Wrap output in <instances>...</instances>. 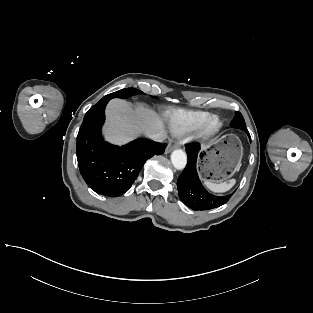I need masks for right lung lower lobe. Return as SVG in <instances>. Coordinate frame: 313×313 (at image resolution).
<instances>
[{
	"instance_id": "obj_1",
	"label": "right lung lower lobe",
	"mask_w": 313,
	"mask_h": 313,
	"mask_svg": "<svg viewBox=\"0 0 313 313\" xmlns=\"http://www.w3.org/2000/svg\"><path fill=\"white\" fill-rule=\"evenodd\" d=\"M109 99H101L85 114L77 136V160L81 175L95 192L117 197L130 189L145 161L164 153L166 143L136 139L118 147L103 140L101 127Z\"/></svg>"
}]
</instances>
